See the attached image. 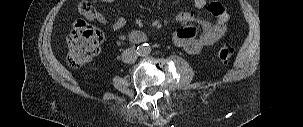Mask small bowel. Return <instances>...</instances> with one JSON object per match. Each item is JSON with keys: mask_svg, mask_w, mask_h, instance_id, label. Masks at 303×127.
I'll return each mask as SVG.
<instances>
[{"mask_svg": "<svg viewBox=\"0 0 303 127\" xmlns=\"http://www.w3.org/2000/svg\"><path fill=\"white\" fill-rule=\"evenodd\" d=\"M102 2H112L114 0H100ZM88 19L91 21H96L104 26H107L112 31H121L126 26V19L119 17L113 22H109L107 17L99 10H92L91 13L87 15ZM140 22V20H138ZM182 31L185 33L182 38L183 43L191 47L194 44V49H200L205 43L216 40L219 38L223 31L224 26L222 20L214 21L211 27L206 33L199 34L197 29L192 26L184 27ZM146 35L143 31L139 29L132 30L129 33V38L132 42L139 43L145 39Z\"/></svg>", "mask_w": 303, "mask_h": 127, "instance_id": "1", "label": "small bowel"}]
</instances>
